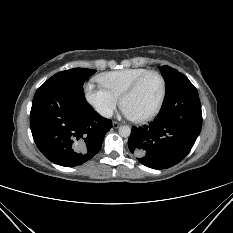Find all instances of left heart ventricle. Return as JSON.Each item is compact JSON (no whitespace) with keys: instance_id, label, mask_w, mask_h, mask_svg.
Returning a JSON list of instances; mask_svg holds the SVG:
<instances>
[{"instance_id":"obj_1","label":"left heart ventricle","mask_w":233,"mask_h":233,"mask_svg":"<svg viewBox=\"0 0 233 233\" xmlns=\"http://www.w3.org/2000/svg\"><path fill=\"white\" fill-rule=\"evenodd\" d=\"M162 91L161 80L156 75L148 76L139 88L128 96L123 106L132 117H141L150 113L158 104Z\"/></svg>"}]
</instances>
